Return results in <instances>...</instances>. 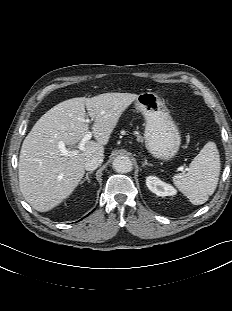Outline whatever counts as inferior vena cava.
<instances>
[{
	"label": "inferior vena cava",
	"mask_w": 232,
	"mask_h": 311,
	"mask_svg": "<svg viewBox=\"0 0 232 311\" xmlns=\"http://www.w3.org/2000/svg\"><path fill=\"white\" fill-rule=\"evenodd\" d=\"M103 162V157L101 156H94L89 158L84 165L85 170L93 171L95 170L101 163Z\"/></svg>",
	"instance_id": "inferior-vena-cava-1"
}]
</instances>
